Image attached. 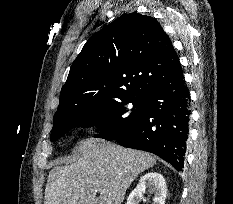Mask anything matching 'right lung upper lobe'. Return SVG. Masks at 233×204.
I'll return each instance as SVG.
<instances>
[{
  "mask_svg": "<svg viewBox=\"0 0 233 204\" xmlns=\"http://www.w3.org/2000/svg\"><path fill=\"white\" fill-rule=\"evenodd\" d=\"M178 63L157 20L139 13L123 15L95 33L73 62L54 124L108 101L147 96Z\"/></svg>",
  "mask_w": 233,
  "mask_h": 204,
  "instance_id": "right-lung-upper-lobe-1",
  "label": "right lung upper lobe"
}]
</instances>
